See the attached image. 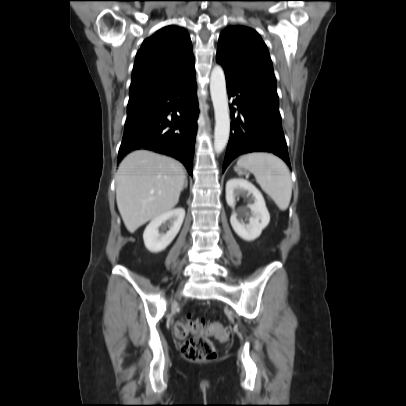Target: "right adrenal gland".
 Here are the masks:
<instances>
[{"mask_svg": "<svg viewBox=\"0 0 406 406\" xmlns=\"http://www.w3.org/2000/svg\"><path fill=\"white\" fill-rule=\"evenodd\" d=\"M187 186H188V180H187V178L185 179V183H184V187L183 188H187Z\"/></svg>", "mask_w": 406, "mask_h": 406, "instance_id": "1", "label": "right adrenal gland"}]
</instances>
